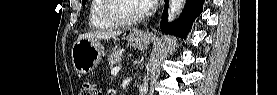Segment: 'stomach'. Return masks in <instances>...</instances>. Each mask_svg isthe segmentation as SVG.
Returning a JSON list of instances; mask_svg holds the SVG:
<instances>
[{
  "mask_svg": "<svg viewBox=\"0 0 277 95\" xmlns=\"http://www.w3.org/2000/svg\"><path fill=\"white\" fill-rule=\"evenodd\" d=\"M126 39L134 48L144 49L149 45L152 35L131 30ZM103 46L100 40L77 39L71 50V58L76 73L86 75L100 63Z\"/></svg>",
  "mask_w": 277,
  "mask_h": 95,
  "instance_id": "obj_1",
  "label": "stomach"
}]
</instances>
